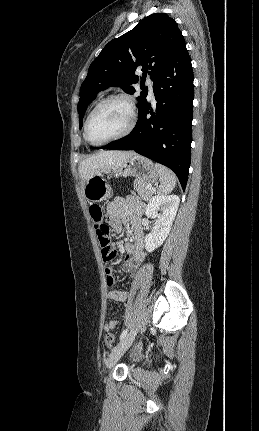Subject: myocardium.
I'll use <instances>...</instances> for the list:
<instances>
[{"label": "myocardium", "mask_w": 259, "mask_h": 431, "mask_svg": "<svg viewBox=\"0 0 259 431\" xmlns=\"http://www.w3.org/2000/svg\"><path fill=\"white\" fill-rule=\"evenodd\" d=\"M111 100H122L125 102V104L128 107L129 113H130L129 124L118 135L113 136V137H111L105 141H102V142H95L90 138V135H89V126H90L91 119H92L93 115L95 114V112L102 105H104L105 103H107ZM136 124H137V112H136V107H135V103H134L133 98L126 93H114V94H110V95L106 96L105 98H103L102 100H100L95 105V107L91 110V112L88 114L86 121H85V125H84V137L89 144H91L93 146H102V145L108 144V143L113 142V141H117L119 139H122V138L128 136L134 130Z\"/></svg>", "instance_id": "myocardium-1"}]
</instances>
